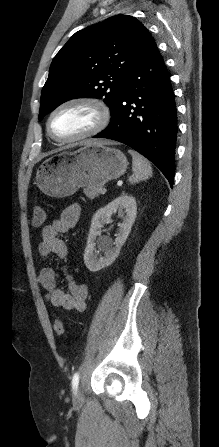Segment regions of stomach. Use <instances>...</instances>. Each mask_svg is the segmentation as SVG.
Returning <instances> with one entry per match:
<instances>
[{
    "instance_id": "0dacf381",
    "label": "stomach",
    "mask_w": 219,
    "mask_h": 447,
    "mask_svg": "<svg viewBox=\"0 0 219 447\" xmlns=\"http://www.w3.org/2000/svg\"><path fill=\"white\" fill-rule=\"evenodd\" d=\"M128 162L118 149L89 142L76 151H64L46 159L37 169L39 189L51 197H67L80 187H97L117 179Z\"/></svg>"
}]
</instances>
